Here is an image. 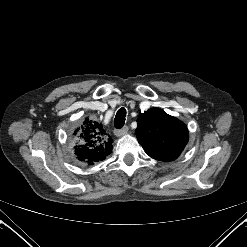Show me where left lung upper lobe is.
<instances>
[{"mask_svg":"<svg viewBox=\"0 0 247 247\" xmlns=\"http://www.w3.org/2000/svg\"><path fill=\"white\" fill-rule=\"evenodd\" d=\"M137 123V139L151 158L175 160L188 142L186 125L162 109L152 108L141 113Z\"/></svg>","mask_w":247,"mask_h":247,"instance_id":"5c2ea615","label":"left lung upper lobe"}]
</instances>
